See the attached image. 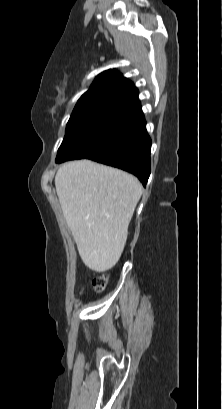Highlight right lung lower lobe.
I'll return each mask as SVG.
<instances>
[{
	"label": "right lung lower lobe",
	"instance_id": "right-lung-lower-lobe-1",
	"mask_svg": "<svg viewBox=\"0 0 222 409\" xmlns=\"http://www.w3.org/2000/svg\"><path fill=\"white\" fill-rule=\"evenodd\" d=\"M150 149L151 139L139 105L126 110L101 146L85 158L128 171L146 186L151 172Z\"/></svg>",
	"mask_w": 222,
	"mask_h": 409
}]
</instances>
